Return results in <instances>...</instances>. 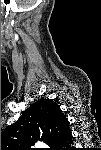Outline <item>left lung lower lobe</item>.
<instances>
[{
  "instance_id": "obj_1",
  "label": "left lung lower lobe",
  "mask_w": 101,
  "mask_h": 150,
  "mask_svg": "<svg viewBox=\"0 0 101 150\" xmlns=\"http://www.w3.org/2000/svg\"><path fill=\"white\" fill-rule=\"evenodd\" d=\"M65 124L67 125V122H65ZM68 131L66 130L62 135V137L64 138V140L65 141H67L68 140V133H67Z\"/></svg>"
}]
</instances>
